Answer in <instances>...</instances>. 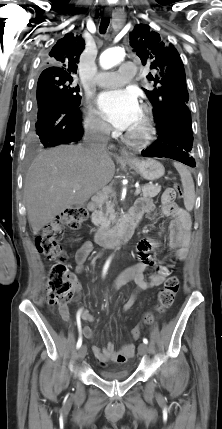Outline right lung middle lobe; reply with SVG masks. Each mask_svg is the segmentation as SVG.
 Returning <instances> with one entry per match:
<instances>
[{"label": "right lung middle lobe", "instance_id": "right-lung-middle-lobe-1", "mask_svg": "<svg viewBox=\"0 0 222 429\" xmlns=\"http://www.w3.org/2000/svg\"><path fill=\"white\" fill-rule=\"evenodd\" d=\"M72 76H40L37 83L36 101L40 105L49 94L57 93L65 96L74 104L80 105L79 87L72 85Z\"/></svg>", "mask_w": 222, "mask_h": 429}]
</instances>
